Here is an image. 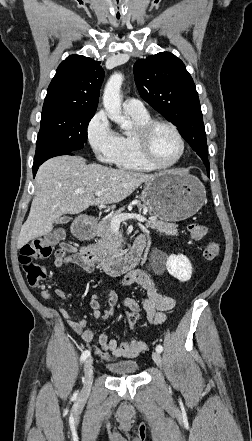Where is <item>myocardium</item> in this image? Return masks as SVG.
<instances>
[{
    "label": "myocardium",
    "mask_w": 252,
    "mask_h": 441,
    "mask_svg": "<svg viewBox=\"0 0 252 441\" xmlns=\"http://www.w3.org/2000/svg\"><path fill=\"white\" fill-rule=\"evenodd\" d=\"M164 126L169 128L177 137L180 143V153L179 155L169 163H159L155 160L152 150H151V137L154 131L160 127ZM135 139L138 147V151L142 159L154 169H167L176 165L185 155L186 152V142L181 132L176 125L165 120H151L148 123L140 126L136 133Z\"/></svg>",
    "instance_id": "f54148a6"
}]
</instances>
